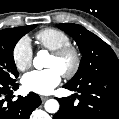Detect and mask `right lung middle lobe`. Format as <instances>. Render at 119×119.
<instances>
[{
  "label": "right lung middle lobe",
  "instance_id": "obj_1",
  "mask_svg": "<svg viewBox=\"0 0 119 119\" xmlns=\"http://www.w3.org/2000/svg\"><path fill=\"white\" fill-rule=\"evenodd\" d=\"M35 27L36 25H27L0 31V82L10 83L18 77L13 58L14 47L22 36Z\"/></svg>",
  "mask_w": 119,
  "mask_h": 119
}]
</instances>
